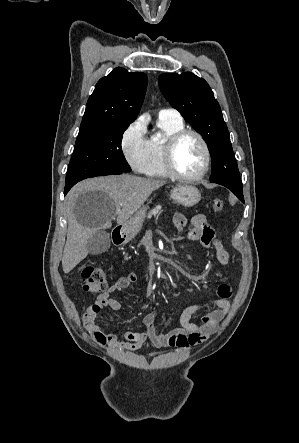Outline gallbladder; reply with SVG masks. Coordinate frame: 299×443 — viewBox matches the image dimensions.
Here are the masks:
<instances>
[{"instance_id": "obj_1", "label": "gallbladder", "mask_w": 299, "mask_h": 443, "mask_svg": "<svg viewBox=\"0 0 299 443\" xmlns=\"http://www.w3.org/2000/svg\"><path fill=\"white\" fill-rule=\"evenodd\" d=\"M110 247V235L105 231H97L87 242V248L92 255L106 252Z\"/></svg>"}]
</instances>
